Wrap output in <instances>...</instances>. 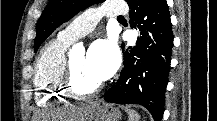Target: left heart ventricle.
<instances>
[{"instance_id": "left-heart-ventricle-1", "label": "left heart ventricle", "mask_w": 217, "mask_h": 121, "mask_svg": "<svg viewBox=\"0 0 217 121\" xmlns=\"http://www.w3.org/2000/svg\"><path fill=\"white\" fill-rule=\"evenodd\" d=\"M71 62L74 79L80 89L90 90L101 82L87 64L86 56L84 54L71 58Z\"/></svg>"}]
</instances>
